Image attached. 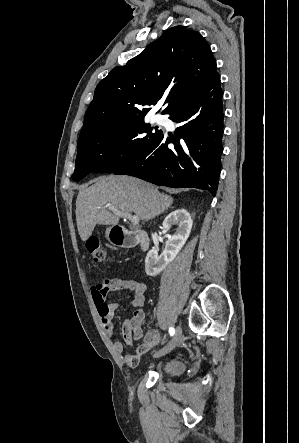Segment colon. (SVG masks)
Here are the masks:
<instances>
[{
  "instance_id": "1",
  "label": "colon",
  "mask_w": 299,
  "mask_h": 443,
  "mask_svg": "<svg viewBox=\"0 0 299 443\" xmlns=\"http://www.w3.org/2000/svg\"><path fill=\"white\" fill-rule=\"evenodd\" d=\"M86 248L95 262L103 263L107 261L106 250L101 245L97 237L95 236L89 237L86 241Z\"/></svg>"
}]
</instances>
